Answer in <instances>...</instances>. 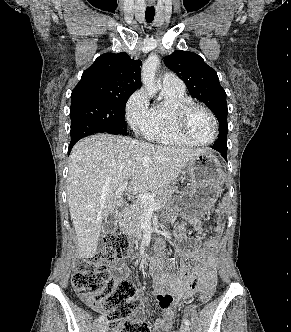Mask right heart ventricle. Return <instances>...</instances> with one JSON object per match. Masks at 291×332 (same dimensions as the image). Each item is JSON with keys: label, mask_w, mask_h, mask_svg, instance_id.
<instances>
[{"label": "right heart ventricle", "mask_w": 291, "mask_h": 332, "mask_svg": "<svg viewBox=\"0 0 291 332\" xmlns=\"http://www.w3.org/2000/svg\"><path fill=\"white\" fill-rule=\"evenodd\" d=\"M165 90L166 98L149 109L147 124L140 130L149 140L171 146L192 147L195 144L187 140L176 126L178 108L192 102L185 91Z\"/></svg>", "instance_id": "1"}]
</instances>
